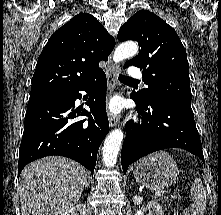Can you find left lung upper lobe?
Masks as SVG:
<instances>
[{"label":"left lung upper lobe","mask_w":221,"mask_h":215,"mask_svg":"<svg viewBox=\"0 0 221 215\" xmlns=\"http://www.w3.org/2000/svg\"><path fill=\"white\" fill-rule=\"evenodd\" d=\"M119 41L135 40L141 50L124 68L143 69L148 88L133 94L142 102L167 100L191 106L189 65L175 30L147 10L138 11L119 30Z\"/></svg>","instance_id":"5c2ea615"}]
</instances>
